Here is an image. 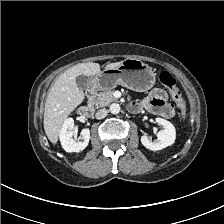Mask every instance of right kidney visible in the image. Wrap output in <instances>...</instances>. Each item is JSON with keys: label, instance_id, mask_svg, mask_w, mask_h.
<instances>
[{"label": "right kidney", "instance_id": "1", "mask_svg": "<svg viewBox=\"0 0 224 224\" xmlns=\"http://www.w3.org/2000/svg\"><path fill=\"white\" fill-rule=\"evenodd\" d=\"M74 135V120L67 118L60 131V142L66 152H80L83 151L90 140V130L85 128L81 131V141L76 142L72 137Z\"/></svg>", "mask_w": 224, "mask_h": 224}]
</instances>
